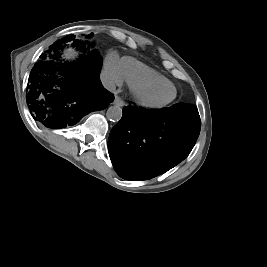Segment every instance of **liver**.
Wrapping results in <instances>:
<instances>
[{
  "label": "liver",
  "instance_id": "liver-1",
  "mask_svg": "<svg viewBox=\"0 0 267 267\" xmlns=\"http://www.w3.org/2000/svg\"><path fill=\"white\" fill-rule=\"evenodd\" d=\"M75 55H76V52L74 51V50H72V49H68L66 52H65V57L67 58V59H71V58H73V57H75Z\"/></svg>",
  "mask_w": 267,
  "mask_h": 267
}]
</instances>
